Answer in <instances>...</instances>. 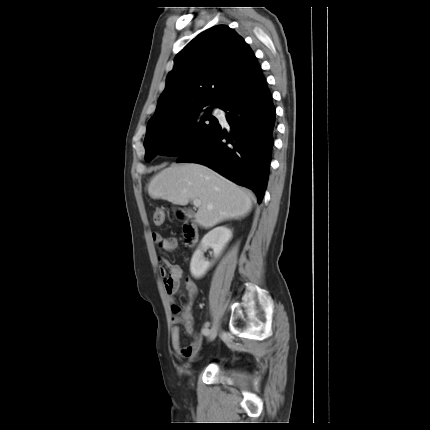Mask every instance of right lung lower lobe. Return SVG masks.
Masks as SVG:
<instances>
[{
    "label": "right lung lower lobe",
    "instance_id": "98d812e1",
    "mask_svg": "<svg viewBox=\"0 0 430 430\" xmlns=\"http://www.w3.org/2000/svg\"><path fill=\"white\" fill-rule=\"evenodd\" d=\"M218 107L228 114L231 129L226 131L219 124L196 150L180 156L177 162L206 165L252 189L260 203L268 181L276 126V109L265 78L236 89Z\"/></svg>",
    "mask_w": 430,
    "mask_h": 430
}]
</instances>
